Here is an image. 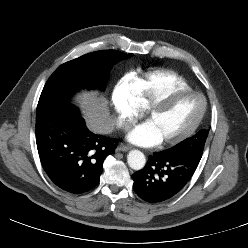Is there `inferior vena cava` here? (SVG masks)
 Wrapping results in <instances>:
<instances>
[{"instance_id": "obj_1", "label": "inferior vena cava", "mask_w": 248, "mask_h": 248, "mask_svg": "<svg viewBox=\"0 0 248 248\" xmlns=\"http://www.w3.org/2000/svg\"><path fill=\"white\" fill-rule=\"evenodd\" d=\"M117 125H121L124 129H129L130 126L126 122L120 123V121H117Z\"/></svg>"}]
</instances>
